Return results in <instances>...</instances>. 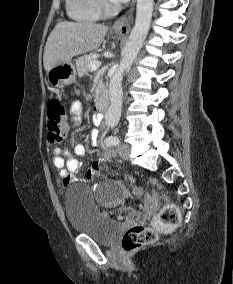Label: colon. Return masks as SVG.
<instances>
[{
    "instance_id": "obj_1",
    "label": "colon",
    "mask_w": 233,
    "mask_h": 284,
    "mask_svg": "<svg viewBox=\"0 0 233 284\" xmlns=\"http://www.w3.org/2000/svg\"><path fill=\"white\" fill-rule=\"evenodd\" d=\"M66 133L65 108L58 98H52L47 105V136L51 143L62 141ZM155 206L152 196H146L143 208L151 211ZM180 221V213L176 205L167 202L155 219V225L160 230L176 227ZM158 233L152 227L135 225L128 229L122 239V247L125 252L131 253L144 245L157 240Z\"/></svg>"
}]
</instances>
